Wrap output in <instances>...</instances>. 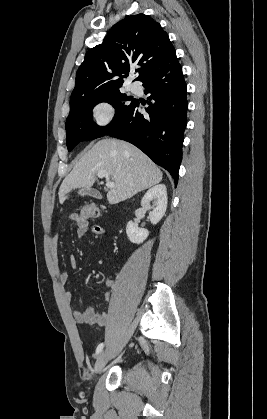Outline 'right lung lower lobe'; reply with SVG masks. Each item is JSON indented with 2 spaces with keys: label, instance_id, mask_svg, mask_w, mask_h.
Listing matches in <instances>:
<instances>
[{
  "label": "right lung lower lobe",
  "instance_id": "right-lung-lower-lobe-1",
  "mask_svg": "<svg viewBox=\"0 0 267 419\" xmlns=\"http://www.w3.org/2000/svg\"><path fill=\"white\" fill-rule=\"evenodd\" d=\"M148 115L140 113L141 103L136 99L128 113L106 134L128 141L178 181L182 160L184 130L187 123V85L178 62L151 72L142 81Z\"/></svg>",
  "mask_w": 267,
  "mask_h": 419
}]
</instances>
